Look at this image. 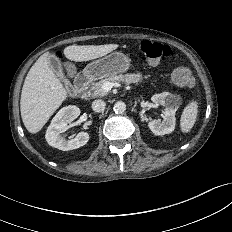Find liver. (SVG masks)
Returning a JSON list of instances; mask_svg holds the SVG:
<instances>
[{
  "label": "liver",
  "instance_id": "liver-1",
  "mask_svg": "<svg viewBox=\"0 0 232 232\" xmlns=\"http://www.w3.org/2000/svg\"><path fill=\"white\" fill-rule=\"evenodd\" d=\"M118 44L71 45L64 49L67 59L83 62L102 57ZM49 53L41 55L29 70L21 92L22 121L30 133L39 132L67 97V91L48 64Z\"/></svg>",
  "mask_w": 232,
  "mask_h": 232
}]
</instances>
